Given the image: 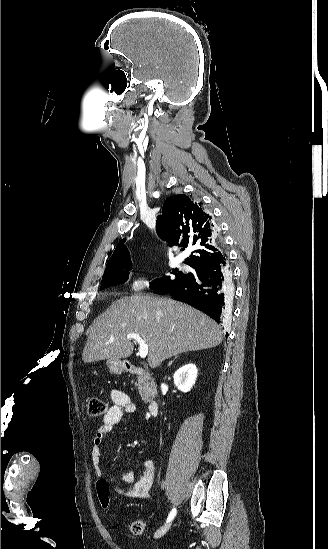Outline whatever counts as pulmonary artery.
<instances>
[{
	"instance_id": "1",
	"label": "pulmonary artery",
	"mask_w": 328,
	"mask_h": 549,
	"mask_svg": "<svg viewBox=\"0 0 328 549\" xmlns=\"http://www.w3.org/2000/svg\"><path fill=\"white\" fill-rule=\"evenodd\" d=\"M177 265L179 267H186L185 259L183 257H178L177 258Z\"/></svg>"
}]
</instances>
